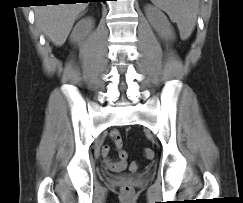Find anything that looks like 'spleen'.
Wrapping results in <instances>:
<instances>
[{
    "label": "spleen",
    "mask_w": 243,
    "mask_h": 203,
    "mask_svg": "<svg viewBox=\"0 0 243 203\" xmlns=\"http://www.w3.org/2000/svg\"><path fill=\"white\" fill-rule=\"evenodd\" d=\"M159 9L166 12L177 24L182 40H186L195 28L199 12V0H151Z\"/></svg>",
    "instance_id": "3e777b00"
}]
</instances>
